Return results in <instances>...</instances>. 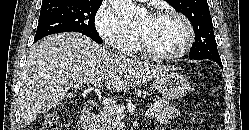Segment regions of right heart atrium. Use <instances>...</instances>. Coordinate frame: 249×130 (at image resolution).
Listing matches in <instances>:
<instances>
[{"instance_id": "1", "label": "right heart atrium", "mask_w": 249, "mask_h": 130, "mask_svg": "<svg viewBox=\"0 0 249 130\" xmlns=\"http://www.w3.org/2000/svg\"><path fill=\"white\" fill-rule=\"evenodd\" d=\"M94 26L99 36L112 48L126 54L135 50L138 41L136 32L106 3H102L97 9Z\"/></svg>"}]
</instances>
